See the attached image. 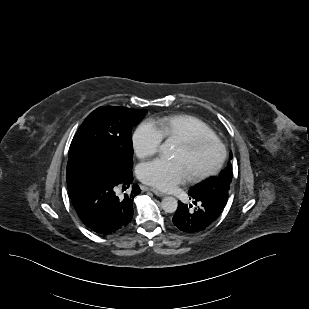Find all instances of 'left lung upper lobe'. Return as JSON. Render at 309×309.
<instances>
[{
    "mask_svg": "<svg viewBox=\"0 0 309 309\" xmlns=\"http://www.w3.org/2000/svg\"><path fill=\"white\" fill-rule=\"evenodd\" d=\"M230 159H232V152L230 153ZM232 177L233 171L231 163L229 162L227 167L220 173L219 176L211 177L208 180L193 186L191 190L197 193H203L206 196H215L227 199Z\"/></svg>",
    "mask_w": 309,
    "mask_h": 309,
    "instance_id": "left-lung-upper-lobe-1",
    "label": "left lung upper lobe"
}]
</instances>
